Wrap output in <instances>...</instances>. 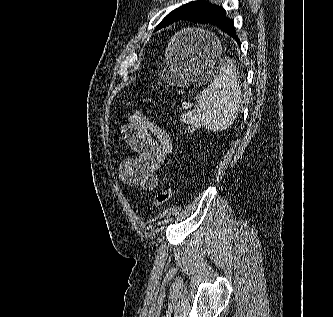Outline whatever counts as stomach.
I'll list each match as a JSON object with an SVG mask.
<instances>
[{
  "label": "stomach",
  "mask_w": 333,
  "mask_h": 317,
  "mask_svg": "<svg viewBox=\"0 0 333 317\" xmlns=\"http://www.w3.org/2000/svg\"><path fill=\"white\" fill-rule=\"evenodd\" d=\"M198 31V32H196ZM200 24H187V30L175 34L165 51L164 76L175 83L171 95H199V88L215 81V74H223L225 62H219L221 48L210 34L200 31Z\"/></svg>",
  "instance_id": "1"
}]
</instances>
